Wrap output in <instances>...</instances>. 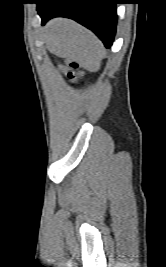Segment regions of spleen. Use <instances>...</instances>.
<instances>
[{
    "label": "spleen",
    "instance_id": "3e777b00",
    "mask_svg": "<svg viewBox=\"0 0 166 267\" xmlns=\"http://www.w3.org/2000/svg\"><path fill=\"white\" fill-rule=\"evenodd\" d=\"M45 39L57 55L77 61L91 72L100 69L103 45L93 33L77 23L66 19L54 20L47 28Z\"/></svg>",
    "mask_w": 166,
    "mask_h": 267
}]
</instances>
